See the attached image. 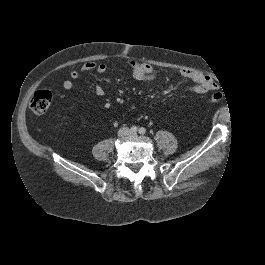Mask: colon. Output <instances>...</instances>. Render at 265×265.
I'll list each match as a JSON object with an SVG mask.
<instances>
[{
  "mask_svg": "<svg viewBox=\"0 0 265 265\" xmlns=\"http://www.w3.org/2000/svg\"><path fill=\"white\" fill-rule=\"evenodd\" d=\"M223 93L221 92H216L211 96V101L212 102H218L223 99ZM52 100V94L47 91V90H41L35 92L33 95L31 102H30V107L31 109L37 113L41 114L47 111L51 104Z\"/></svg>",
  "mask_w": 265,
  "mask_h": 265,
  "instance_id": "obj_1",
  "label": "colon"
}]
</instances>
